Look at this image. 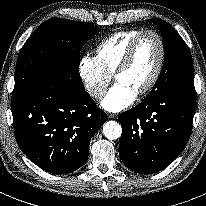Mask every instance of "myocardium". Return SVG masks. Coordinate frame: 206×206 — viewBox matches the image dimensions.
<instances>
[{
	"instance_id": "1",
	"label": "myocardium",
	"mask_w": 206,
	"mask_h": 206,
	"mask_svg": "<svg viewBox=\"0 0 206 206\" xmlns=\"http://www.w3.org/2000/svg\"><path fill=\"white\" fill-rule=\"evenodd\" d=\"M147 34H151L153 36L156 37L158 43H159V48H160V54H159V60L156 66V69L150 79V81L148 82V84L141 89L136 96L138 97H142L147 95L148 93H150L153 88L155 87V85L157 84L163 67H164V63H165V56H166V48H165V43L164 40L162 38V36L155 30L152 29H146L141 31L133 40L132 42L129 44L122 60L120 61V63L118 64L115 72H114V79L116 80V78L122 74L123 72H125L128 68V66L130 65L133 56L135 54L136 48L138 46V43L140 42L141 38Z\"/></svg>"
}]
</instances>
